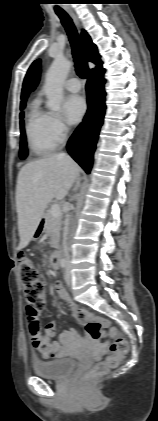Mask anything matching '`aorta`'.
<instances>
[{
  "instance_id": "762f6f07",
  "label": "aorta",
  "mask_w": 158,
  "mask_h": 421,
  "mask_svg": "<svg viewBox=\"0 0 158 421\" xmlns=\"http://www.w3.org/2000/svg\"><path fill=\"white\" fill-rule=\"evenodd\" d=\"M72 63L64 58H56L46 73L44 92L48 98V107L59 111L63 100V85Z\"/></svg>"
}]
</instances>
